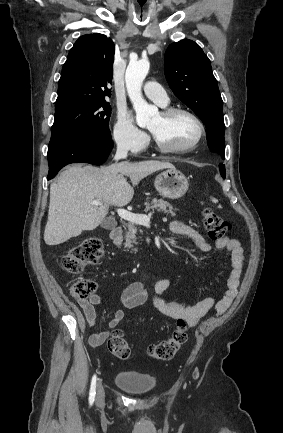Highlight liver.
Instances as JSON below:
<instances>
[{
    "label": "liver",
    "mask_w": 283,
    "mask_h": 433,
    "mask_svg": "<svg viewBox=\"0 0 283 433\" xmlns=\"http://www.w3.org/2000/svg\"><path fill=\"white\" fill-rule=\"evenodd\" d=\"M161 168L175 166L161 160H125L101 168L82 164L68 166L50 186L48 221L44 231L46 245H60L71 237H79L82 231L97 229L108 214L110 204H128L133 198V186ZM125 176H129L133 186ZM93 200H102V204H91Z\"/></svg>",
    "instance_id": "obj_1"
}]
</instances>
